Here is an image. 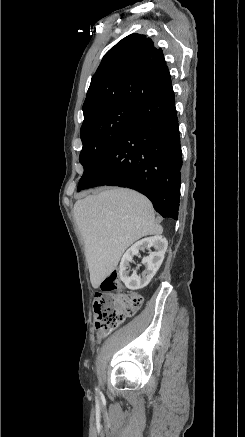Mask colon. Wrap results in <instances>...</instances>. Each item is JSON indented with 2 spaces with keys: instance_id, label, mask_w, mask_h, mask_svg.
Returning <instances> with one entry per match:
<instances>
[{
  "instance_id": "colon-1",
  "label": "colon",
  "mask_w": 245,
  "mask_h": 437,
  "mask_svg": "<svg viewBox=\"0 0 245 437\" xmlns=\"http://www.w3.org/2000/svg\"><path fill=\"white\" fill-rule=\"evenodd\" d=\"M143 304L136 292L122 291L118 271H113L100 285L95 296L94 320L98 334H107L117 328L126 317L134 315Z\"/></svg>"
}]
</instances>
